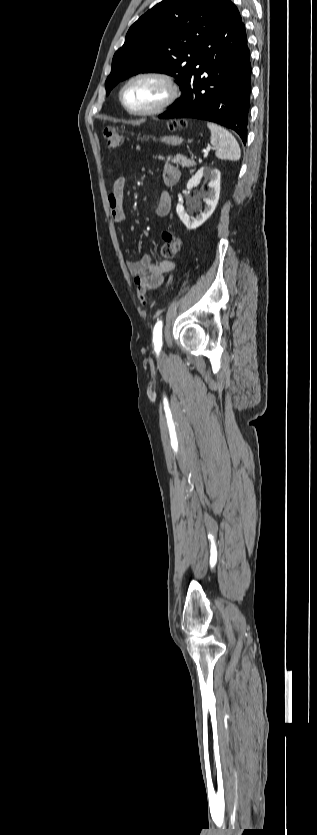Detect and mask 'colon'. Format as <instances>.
I'll list each match as a JSON object with an SVG mask.
<instances>
[{"label":"colon","mask_w":317,"mask_h":835,"mask_svg":"<svg viewBox=\"0 0 317 835\" xmlns=\"http://www.w3.org/2000/svg\"><path fill=\"white\" fill-rule=\"evenodd\" d=\"M179 125H184V122H180V123L171 122L170 123V129L174 130ZM104 137L106 139L107 147L111 150H115V149L121 147L123 142H124L123 134L121 132H119L118 130H116L115 128H112V127L105 128ZM162 237H163V245L161 246V249H160V255L163 258H174L181 251V248H182L181 239L179 237H177L174 233H172L171 231H168V230L163 232ZM137 292H138V295H139L141 301L144 302L145 301L146 289L143 288L142 286H137Z\"/></svg>","instance_id":"1"}]
</instances>
